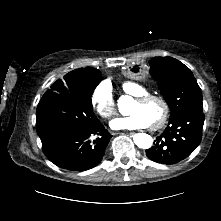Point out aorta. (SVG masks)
<instances>
[{"label":"aorta","instance_id":"762f6f07","mask_svg":"<svg viewBox=\"0 0 221 221\" xmlns=\"http://www.w3.org/2000/svg\"><path fill=\"white\" fill-rule=\"evenodd\" d=\"M124 97H121L118 101L119 110L122 112L124 108ZM134 143L142 149H148L153 144V138L146 133H137L133 136Z\"/></svg>","mask_w":221,"mask_h":221}]
</instances>
